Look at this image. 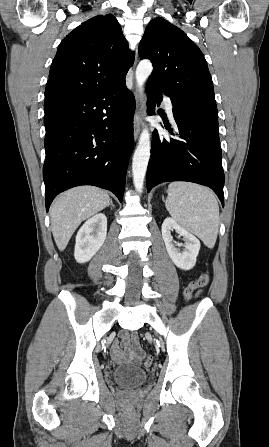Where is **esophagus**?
I'll use <instances>...</instances> for the list:
<instances>
[{
  "instance_id": "esophagus-1",
  "label": "esophagus",
  "mask_w": 269,
  "mask_h": 447,
  "mask_svg": "<svg viewBox=\"0 0 269 447\" xmlns=\"http://www.w3.org/2000/svg\"><path fill=\"white\" fill-rule=\"evenodd\" d=\"M137 57H138V51L136 50V56H135V62H134V68L137 64ZM135 95H136V102H137V107H140V101H139V93L138 90L135 89ZM141 123H142V114H141V109L139 108L135 115H134V140H137V137L139 135V132L141 130Z\"/></svg>"
}]
</instances>
